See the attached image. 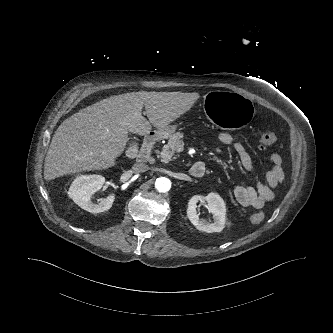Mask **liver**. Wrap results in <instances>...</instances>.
I'll return each mask as SVG.
<instances>
[{
    "mask_svg": "<svg viewBox=\"0 0 333 333\" xmlns=\"http://www.w3.org/2000/svg\"><path fill=\"white\" fill-rule=\"evenodd\" d=\"M198 93L131 92L105 98L64 120L53 135L44 178L115 165L128 141V131L147 134L153 125L168 126L198 100ZM145 107L148 120L142 116Z\"/></svg>",
    "mask_w": 333,
    "mask_h": 333,
    "instance_id": "6515ba94",
    "label": "liver"
}]
</instances>
